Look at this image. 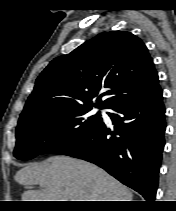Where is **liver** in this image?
<instances>
[{"mask_svg":"<svg viewBox=\"0 0 176 211\" xmlns=\"http://www.w3.org/2000/svg\"><path fill=\"white\" fill-rule=\"evenodd\" d=\"M14 180L26 190L22 201H132V192L102 168L84 160L53 156L18 170Z\"/></svg>","mask_w":176,"mask_h":211,"instance_id":"1","label":"liver"}]
</instances>
